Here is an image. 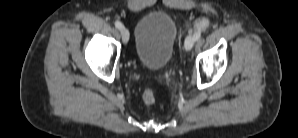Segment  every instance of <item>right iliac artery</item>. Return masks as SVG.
<instances>
[{"label":"right iliac artery","mask_w":298,"mask_h":138,"mask_svg":"<svg viewBox=\"0 0 298 138\" xmlns=\"http://www.w3.org/2000/svg\"><path fill=\"white\" fill-rule=\"evenodd\" d=\"M115 26H116V28H118V29H122V28H123V25H122V23H121L120 21H116V22H115Z\"/></svg>","instance_id":"1"}]
</instances>
